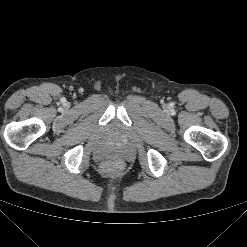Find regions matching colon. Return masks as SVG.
Returning a JSON list of instances; mask_svg holds the SVG:
<instances>
[{
	"instance_id": "colon-1",
	"label": "colon",
	"mask_w": 247,
	"mask_h": 247,
	"mask_svg": "<svg viewBox=\"0 0 247 247\" xmlns=\"http://www.w3.org/2000/svg\"><path fill=\"white\" fill-rule=\"evenodd\" d=\"M105 167L108 170H117L120 167V164L117 161H110L105 164Z\"/></svg>"
}]
</instances>
